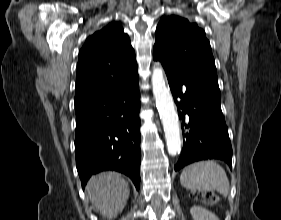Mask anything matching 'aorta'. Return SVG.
Here are the masks:
<instances>
[{
	"mask_svg": "<svg viewBox=\"0 0 281 220\" xmlns=\"http://www.w3.org/2000/svg\"><path fill=\"white\" fill-rule=\"evenodd\" d=\"M153 95L163 124L168 153L172 156L180 152V126L173 97L165 84L161 66H155L152 73Z\"/></svg>",
	"mask_w": 281,
	"mask_h": 220,
	"instance_id": "obj_1",
	"label": "aorta"
}]
</instances>
